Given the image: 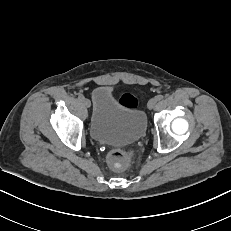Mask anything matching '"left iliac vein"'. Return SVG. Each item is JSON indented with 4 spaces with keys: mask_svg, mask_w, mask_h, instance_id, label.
<instances>
[{
    "mask_svg": "<svg viewBox=\"0 0 231 231\" xmlns=\"http://www.w3.org/2000/svg\"><path fill=\"white\" fill-rule=\"evenodd\" d=\"M157 102L158 100L156 97L151 98L148 102V108L153 109L156 106Z\"/></svg>",
    "mask_w": 231,
    "mask_h": 231,
    "instance_id": "1",
    "label": "left iliac vein"
}]
</instances>
